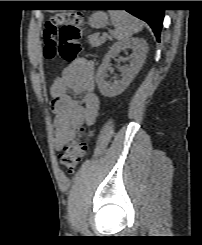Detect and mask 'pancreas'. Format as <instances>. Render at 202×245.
I'll list each match as a JSON object with an SVG mask.
<instances>
[{"label":"pancreas","instance_id":"cf45deb5","mask_svg":"<svg viewBox=\"0 0 202 245\" xmlns=\"http://www.w3.org/2000/svg\"><path fill=\"white\" fill-rule=\"evenodd\" d=\"M88 41L89 43L91 44L92 47H98L100 46L101 44L105 43L106 41V38H103V37H98L97 35H90L88 37Z\"/></svg>","mask_w":202,"mask_h":245}]
</instances>
